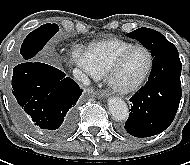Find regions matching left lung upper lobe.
Returning a JSON list of instances; mask_svg holds the SVG:
<instances>
[{"mask_svg":"<svg viewBox=\"0 0 190 165\" xmlns=\"http://www.w3.org/2000/svg\"><path fill=\"white\" fill-rule=\"evenodd\" d=\"M126 35L140 41L144 47L151 51L153 57L167 49L175 47L161 33L149 28H139Z\"/></svg>","mask_w":190,"mask_h":165,"instance_id":"left-lung-upper-lobe-1","label":"left lung upper lobe"}]
</instances>
